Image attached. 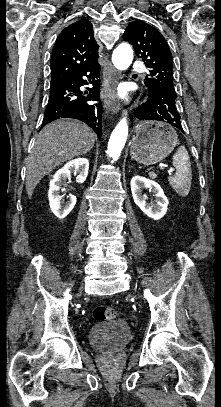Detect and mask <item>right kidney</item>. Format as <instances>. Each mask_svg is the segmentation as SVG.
<instances>
[{"instance_id": "ca27d5eb", "label": "right kidney", "mask_w": 221, "mask_h": 407, "mask_svg": "<svg viewBox=\"0 0 221 407\" xmlns=\"http://www.w3.org/2000/svg\"><path fill=\"white\" fill-rule=\"evenodd\" d=\"M89 161L86 158H77L66 163L61 169H59L50 181V187L48 191L49 205L54 215L59 218H65L74 208L76 204V197L70 195L69 200L64 203L61 201L60 189L64 184V181L71 176V173H78L76 177L77 183H83L88 175Z\"/></svg>"}]
</instances>
